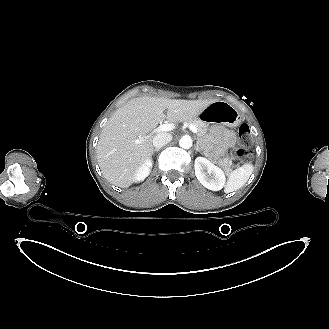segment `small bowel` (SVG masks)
Wrapping results in <instances>:
<instances>
[{
    "label": "small bowel",
    "mask_w": 329,
    "mask_h": 329,
    "mask_svg": "<svg viewBox=\"0 0 329 329\" xmlns=\"http://www.w3.org/2000/svg\"><path fill=\"white\" fill-rule=\"evenodd\" d=\"M211 138L218 154H223L232 148L236 142V135L233 131L219 126H214L211 129Z\"/></svg>",
    "instance_id": "c3829d8e"
}]
</instances>
